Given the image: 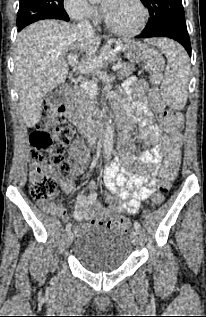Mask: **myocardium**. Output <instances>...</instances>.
I'll return each instance as SVG.
<instances>
[{
    "mask_svg": "<svg viewBox=\"0 0 206 317\" xmlns=\"http://www.w3.org/2000/svg\"><path fill=\"white\" fill-rule=\"evenodd\" d=\"M141 11V20L139 24L133 29H121L114 26L106 17L105 13L102 12V19L104 21L105 26L113 33L121 35V36H133L139 34L146 26L149 20V11L142 0H132Z\"/></svg>",
    "mask_w": 206,
    "mask_h": 317,
    "instance_id": "1",
    "label": "myocardium"
}]
</instances>
